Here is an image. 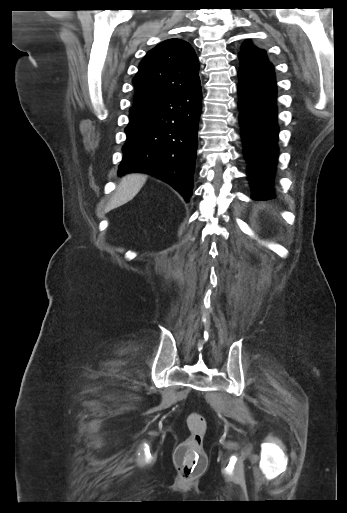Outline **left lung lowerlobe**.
I'll return each instance as SVG.
<instances>
[{
  "mask_svg": "<svg viewBox=\"0 0 347 513\" xmlns=\"http://www.w3.org/2000/svg\"><path fill=\"white\" fill-rule=\"evenodd\" d=\"M238 88L241 134L248 176L255 200L273 198L272 182L278 159L276 81L273 65L253 58L239 57Z\"/></svg>",
  "mask_w": 347,
  "mask_h": 513,
  "instance_id": "obj_1",
  "label": "left lung lower lobe"
}]
</instances>
